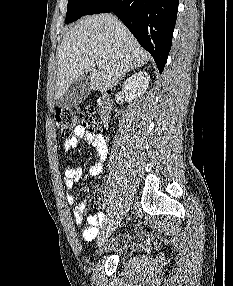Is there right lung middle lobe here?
<instances>
[{
  "label": "right lung middle lobe",
  "mask_w": 233,
  "mask_h": 286,
  "mask_svg": "<svg viewBox=\"0 0 233 286\" xmlns=\"http://www.w3.org/2000/svg\"><path fill=\"white\" fill-rule=\"evenodd\" d=\"M99 0H68L67 16L65 24L71 23L86 15V13L98 2Z\"/></svg>",
  "instance_id": "right-lung-middle-lobe-1"
}]
</instances>
